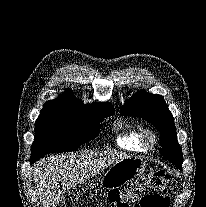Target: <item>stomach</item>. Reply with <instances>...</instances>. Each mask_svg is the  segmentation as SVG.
<instances>
[{
    "label": "stomach",
    "mask_w": 206,
    "mask_h": 207,
    "mask_svg": "<svg viewBox=\"0 0 206 207\" xmlns=\"http://www.w3.org/2000/svg\"><path fill=\"white\" fill-rule=\"evenodd\" d=\"M146 162L137 157L124 158L114 163L102 176L100 185L104 189L113 190L127 184L143 174Z\"/></svg>",
    "instance_id": "1"
}]
</instances>
